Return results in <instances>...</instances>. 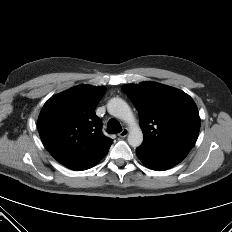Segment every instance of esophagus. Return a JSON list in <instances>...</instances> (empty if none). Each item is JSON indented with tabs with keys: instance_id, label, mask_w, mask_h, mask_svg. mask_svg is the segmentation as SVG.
Returning a JSON list of instances; mask_svg holds the SVG:
<instances>
[{
	"instance_id": "obj_1",
	"label": "esophagus",
	"mask_w": 232,
	"mask_h": 232,
	"mask_svg": "<svg viewBox=\"0 0 232 232\" xmlns=\"http://www.w3.org/2000/svg\"><path fill=\"white\" fill-rule=\"evenodd\" d=\"M128 129L127 128H124L119 134L118 136L121 137V138H124L128 135Z\"/></svg>"
}]
</instances>
